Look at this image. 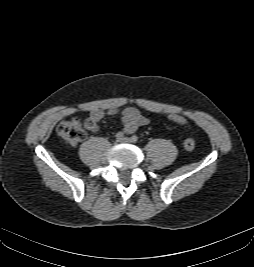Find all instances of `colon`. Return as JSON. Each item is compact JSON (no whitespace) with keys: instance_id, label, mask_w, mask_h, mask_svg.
<instances>
[{"instance_id":"obj_1","label":"colon","mask_w":254,"mask_h":267,"mask_svg":"<svg viewBox=\"0 0 254 267\" xmlns=\"http://www.w3.org/2000/svg\"><path fill=\"white\" fill-rule=\"evenodd\" d=\"M169 118L180 125H187V120L183 116L172 114ZM94 127L95 122L91 119L81 122L78 118H72L61 122L57 127V132L68 143L77 144L86 138L87 130ZM183 146L187 151H192L195 149L196 143L193 139L187 138L184 140Z\"/></svg>"}]
</instances>
